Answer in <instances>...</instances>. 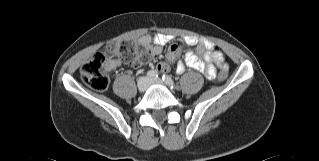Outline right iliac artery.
<instances>
[{"instance_id": "obj_1", "label": "right iliac artery", "mask_w": 319, "mask_h": 161, "mask_svg": "<svg viewBox=\"0 0 319 161\" xmlns=\"http://www.w3.org/2000/svg\"><path fill=\"white\" fill-rule=\"evenodd\" d=\"M147 77L150 78V79H155L158 77V72L155 71V70H150L147 72Z\"/></svg>"}]
</instances>
